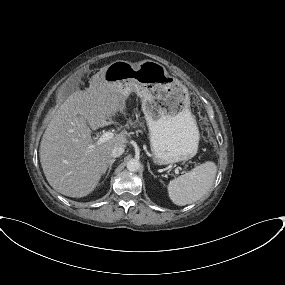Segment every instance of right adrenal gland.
<instances>
[{
	"instance_id": "obj_1",
	"label": "right adrenal gland",
	"mask_w": 285,
	"mask_h": 285,
	"mask_svg": "<svg viewBox=\"0 0 285 285\" xmlns=\"http://www.w3.org/2000/svg\"><path fill=\"white\" fill-rule=\"evenodd\" d=\"M115 161H116V159H112V160L110 161V163H109V165H108V167H107V169H106V170H108V171H107V174H106V176H105V179L108 177V175H109V173H110V171H111L112 165H113V163H114ZM106 170L104 171L103 174L106 173Z\"/></svg>"
}]
</instances>
